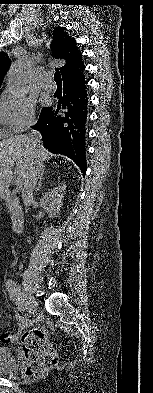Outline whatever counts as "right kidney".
<instances>
[{"instance_id":"1","label":"right kidney","mask_w":153,"mask_h":393,"mask_svg":"<svg viewBox=\"0 0 153 393\" xmlns=\"http://www.w3.org/2000/svg\"><path fill=\"white\" fill-rule=\"evenodd\" d=\"M61 202V198L58 195V190H53L49 195L45 196L42 201V205L48 211L53 210L54 206L58 205Z\"/></svg>"}]
</instances>
